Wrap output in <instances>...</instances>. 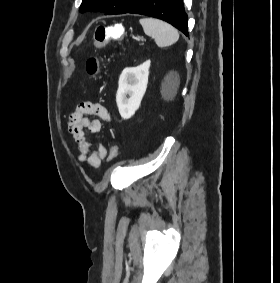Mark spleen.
<instances>
[{"label": "spleen", "instance_id": "1", "mask_svg": "<svg viewBox=\"0 0 280 283\" xmlns=\"http://www.w3.org/2000/svg\"><path fill=\"white\" fill-rule=\"evenodd\" d=\"M140 24L146 35L155 39L158 47H168L176 43L179 33L172 25L154 18L140 19Z\"/></svg>", "mask_w": 280, "mask_h": 283}]
</instances>
